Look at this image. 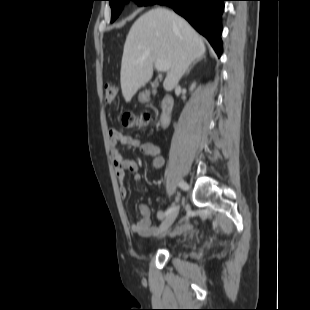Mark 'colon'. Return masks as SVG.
I'll return each mask as SVG.
<instances>
[{
    "instance_id": "1",
    "label": "colon",
    "mask_w": 310,
    "mask_h": 310,
    "mask_svg": "<svg viewBox=\"0 0 310 310\" xmlns=\"http://www.w3.org/2000/svg\"><path fill=\"white\" fill-rule=\"evenodd\" d=\"M104 101L108 105H114L118 103V89L116 85L112 83H105L103 87ZM155 119L154 115L142 114L134 115L131 113H122L119 116L120 123L125 128L140 130L146 127L150 122Z\"/></svg>"
}]
</instances>
